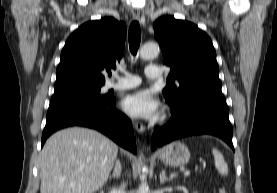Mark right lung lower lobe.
<instances>
[{
	"mask_svg": "<svg viewBox=\"0 0 277 193\" xmlns=\"http://www.w3.org/2000/svg\"><path fill=\"white\" fill-rule=\"evenodd\" d=\"M113 96L83 92L54 93L42 134V146L55 131L70 126L96 129L120 146L136 153L131 121L115 108Z\"/></svg>",
	"mask_w": 277,
	"mask_h": 193,
	"instance_id": "right-lung-lower-lobe-1",
	"label": "right lung lower lobe"
}]
</instances>
